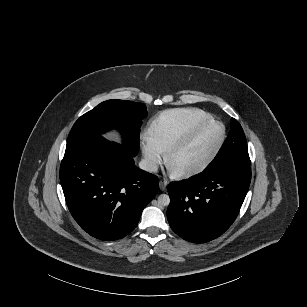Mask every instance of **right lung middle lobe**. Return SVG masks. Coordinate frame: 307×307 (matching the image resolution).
<instances>
[{"label":"right lung middle lobe","instance_id":"obj_1","mask_svg":"<svg viewBox=\"0 0 307 307\" xmlns=\"http://www.w3.org/2000/svg\"><path fill=\"white\" fill-rule=\"evenodd\" d=\"M146 115V106L142 103L125 100L104 101L75 122L69 133L67 146L115 128L123 136V146L136 156L139 151L141 119Z\"/></svg>","mask_w":307,"mask_h":307}]
</instances>
